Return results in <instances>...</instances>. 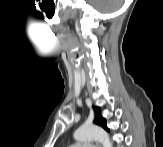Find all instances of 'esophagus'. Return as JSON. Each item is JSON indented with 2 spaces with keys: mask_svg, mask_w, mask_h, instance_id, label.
Wrapping results in <instances>:
<instances>
[{
  "mask_svg": "<svg viewBox=\"0 0 163 147\" xmlns=\"http://www.w3.org/2000/svg\"><path fill=\"white\" fill-rule=\"evenodd\" d=\"M96 146L99 147V144L97 143Z\"/></svg>",
  "mask_w": 163,
  "mask_h": 147,
  "instance_id": "esophagus-1",
  "label": "esophagus"
}]
</instances>
